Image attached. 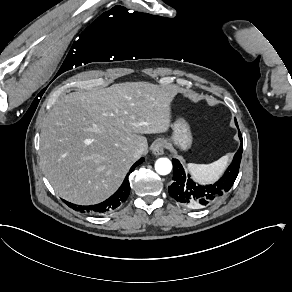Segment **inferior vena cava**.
<instances>
[{
  "mask_svg": "<svg viewBox=\"0 0 292 292\" xmlns=\"http://www.w3.org/2000/svg\"><path fill=\"white\" fill-rule=\"evenodd\" d=\"M143 152H144V148L139 147V148H137V149L135 150L134 155H135L136 158H139V157L143 154Z\"/></svg>",
  "mask_w": 292,
  "mask_h": 292,
  "instance_id": "obj_1",
  "label": "inferior vena cava"
}]
</instances>
